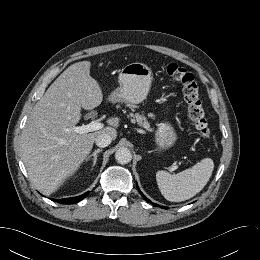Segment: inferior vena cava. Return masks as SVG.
Listing matches in <instances>:
<instances>
[{
	"label": "inferior vena cava",
	"mask_w": 260,
	"mask_h": 260,
	"mask_svg": "<svg viewBox=\"0 0 260 260\" xmlns=\"http://www.w3.org/2000/svg\"><path fill=\"white\" fill-rule=\"evenodd\" d=\"M112 142V137L109 134L103 133L96 137L95 143L98 147H107Z\"/></svg>",
	"instance_id": "1"
}]
</instances>
